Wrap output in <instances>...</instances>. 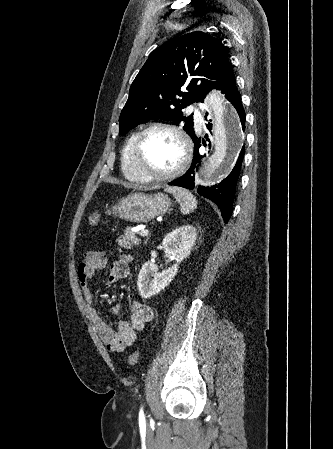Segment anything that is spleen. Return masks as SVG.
Segmentation results:
<instances>
[{"label": "spleen", "instance_id": "obj_1", "mask_svg": "<svg viewBox=\"0 0 333 449\" xmlns=\"http://www.w3.org/2000/svg\"><path fill=\"white\" fill-rule=\"evenodd\" d=\"M165 191L171 193L180 204L181 212L189 214L197 208V200L191 192L181 187H166Z\"/></svg>", "mask_w": 333, "mask_h": 449}]
</instances>
